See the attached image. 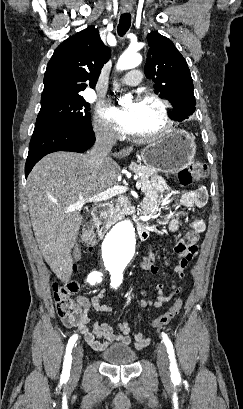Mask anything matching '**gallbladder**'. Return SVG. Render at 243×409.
Segmentation results:
<instances>
[{"instance_id":"1","label":"gallbladder","mask_w":243,"mask_h":409,"mask_svg":"<svg viewBox=\"0 0 243 409\" xmlns=\"http://www.w3.org/2000/svg\"><path fill=\"white\" fill-rule=\"evenodd\" d=\"M73 256H74L75 260L80 259V251H79V244L78 243H76L75 246H74Z\"/></svg>"}]
</instances>
